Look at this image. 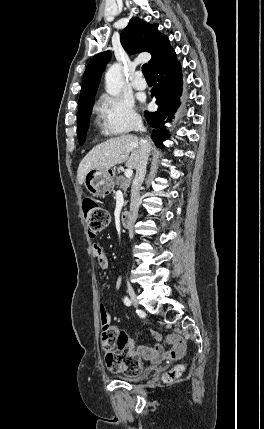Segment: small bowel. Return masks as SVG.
I'll use <instances>...</instances> for the list:
<instances>
[{
    "label": "small bowel",
    "instance_id": "obj_1",
    "mask_svg": "<svg viewBox=\"0 0 264 429\" xmlns=\"http://www.w3.org/2000/svg\"><path fill=\"white\" fill-rule=\"evenodd\" d=\"M93 254L97 258L99 266L103 269L108 268L109 259L102 247L98 244L93 245ZM119 283H117V287ZM156 342L153 346H138L131 348V353L149 362H157L162 359H178L182 357L186 351V343L184 339L178 334H171L166 338V343L171 347L169 350L164 349L163 341L159 334L153 332ZM132 346V342H130Z\"/></svg>",
    "mask_w": 264,
    "mask_h": 429
}]
</instances>
